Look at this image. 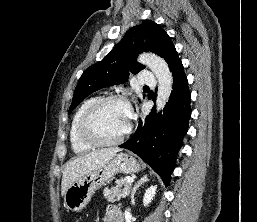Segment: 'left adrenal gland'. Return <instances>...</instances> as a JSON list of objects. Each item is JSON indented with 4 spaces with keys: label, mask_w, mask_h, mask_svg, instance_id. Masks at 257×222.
Here are the masks:
<instances>
[{
    "label": "left adrenal gland",
    "mask_w": 257,
    "mask_h": 222,
    "mask_svg": "<svg viewBox=\"0 0 257 222\" xmlns=\"http://www.w3.org/2000/svg\"><path fill=\"white\" fill-rule=\"evenodd\" d=\"M147 181H149L148 176H147V175H144L140 180H138V181L134 184V187H133L132 192H131V204H132V205L135 204L134 195H135L137 189H138L142 184H144V183L147 182Z\"/></svg>",
    "instance_id": "1"
}]
</instances>
